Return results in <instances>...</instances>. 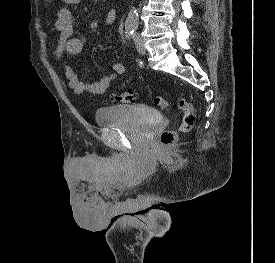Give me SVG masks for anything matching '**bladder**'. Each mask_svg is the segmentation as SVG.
<instances>
[{"label":"bladder","mask_w":275,"mask_h":263,"mask_svg":"<svg viewBox=\"0 0 275 263\" xmlns=\"http://www.w3.org/2000/svg\"><path fill=\"white\" fill-rule=\"evenodd\" d=\"M94 119L100 127L136 131L157 125L160 113L146 105H117L98 108L94 113Z\"/></svg>","instance_id":"31cf9c89"}]
</instances>
